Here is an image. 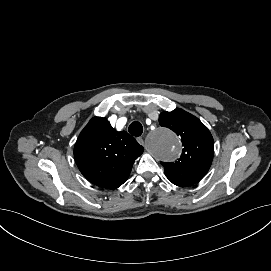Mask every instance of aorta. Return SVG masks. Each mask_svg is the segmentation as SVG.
<instances>
[{
  "label": "aorta",
  "mask_w": 271,
  "mask_h": 271,
  "mask_svg": "<svg viewBox=\"0 0 271 271\" xmlns=\"http://www.w3.org/2000/svg\"><path fill=\"white\" fill-rule=\"evenodd\" d=\"M147 142L151 153L160 160L173 161L181 154L180 140L167 128H160L151 133Z\"/></svg>",
  "instance_id": "aorta-1"
}]
</instances>
